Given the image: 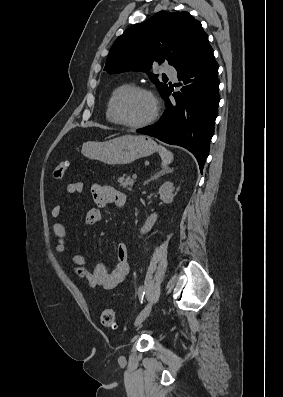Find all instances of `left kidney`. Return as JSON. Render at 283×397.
Instances as JSON below:
<instances>
[{"instance_id": "5707ae66", "label": "left kidney", "mask_w": 283, "mask_h": 397, "mask_svg": "<svg viewBox=\"0 0 283 397\" xmlns=\"http://www.w3.org/2000/svg\"><path fill=\"white\" fill-rule=\"evenodd\" d=\"M174 186L172 182H165L162 184V186L159 188V194H160V199L166 203L170 204L172 203L174 199ZM157 214L153 213L145 222L143 227L140 230L141 234H146L148 233L152 227L154 226L155 222L157 221Z\"/></svg>"}]
</instances>
